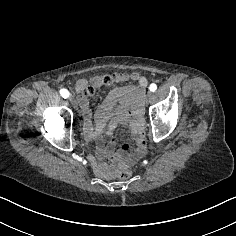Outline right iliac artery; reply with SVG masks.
Segmentation results:
<instances>
[{
    "mask_svg": "<svg viewBox=\"0 0 236 236\" xmlns=\"http://www.w3.org/2000/svg\"><path fill=\"white\" fill-rule=\"evenodd\" d=\"M60 94H61V96L63 97V98H68L69 97V92H68V90L67 89H61L60 90Z\"/></svg>",
    "mask_w": 236,
    "mask_h": 236,
    "instance_id": "right-iliac-artery-1",
    "label": "right iliac artery"
}]
</instances>
